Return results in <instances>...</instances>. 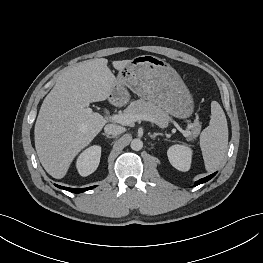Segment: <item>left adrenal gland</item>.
<instances>
[{
	"mask_svg": "<svg viewBox=\"0 0 263 263\" xmlns=\"http://www.w3.org/2000/svg\"><path fill=\"white\" fill-rule=\"evenodd\" d=\"M156 136H163V134H162V133H153V134H150V138H151V139H155Z\"/></svg>",
	"mask_w": 263,
	"mask_h": 263,
	"instance_id": "obj_1",
	"label": "left adrenal gland"
}]
</instances>
